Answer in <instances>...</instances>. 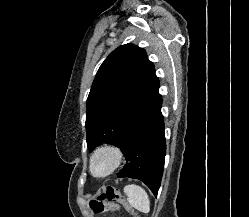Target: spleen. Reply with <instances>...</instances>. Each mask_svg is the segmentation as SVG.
<instances>
[{
  "label": "spleen",
  "instance_id": "1",
  "mask_svg": "<svg viewBox=\"0 0 249 217\" xmlns=\"http://www.w3.org/2000/svg\"><path fill=\"white\" fill-rule=\"evenodd\" d=\"M124 193L132 207L143 213H148L150 211L149 196L141 186L129 184L125 186Z\"/></svg>",
  "mask_w": 249,
  "mask_h": 217
}]
</instances>
